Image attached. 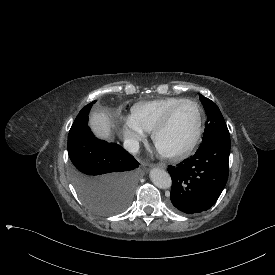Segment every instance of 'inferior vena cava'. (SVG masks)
Masks as SVG:
<instances>
[{
	"label": "inferior vena cava",
	"instance_id": "inferior-vena-cava-1",
	"mask_svg": "<svg viewBox=\"0 0 275 275\" xmlns=\"http://www.w3.org/2000/svg\"><path fill=\"white\" fill-rule=\"evenodd\" d=\"M123 146L125 150L133 154L137 153L139 150V142L136 140H125Z\"/></svg>",
	"mask_w": 275,
	"mask_h": 275
}]
</instances>
